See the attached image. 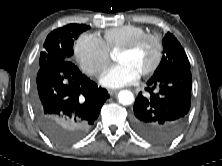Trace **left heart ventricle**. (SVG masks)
<instances>
[{"instance_id":"left-heart-ventricle-1","label":"left heart ventricle","mask_w":222,"mask_h":166,"mask_svg":"<svg viewBox=\"0 0 222 166\" xmlns=\"http://www.w3.org/2000/svg\"><path fill=\"white\" fill-rule=\"evenodd\" d=\"M156 53L155 44L151 40L142 43L136 50L129 53L116 54L119 63H126L141 74L151 66Z\"/></svg>"}]
</instances>
